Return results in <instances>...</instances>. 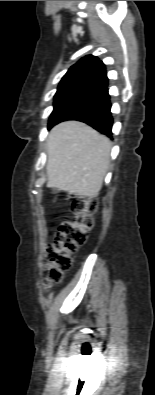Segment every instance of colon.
Segmentation results:
<instances>
[{
  "label": "colon",
  "instance_id": "obj_1",
  "mask_svg": "<svg viewBox=\"0 0 155 395\" xmlns=\"http://www.w3.org/2000/svg\"><path fill=\"white\" fill-rule=\"evenodd\" d=\"M74 218L60 224L55 241L46 249V285L61 282L64 273L71 267V256L88 237L93 226L97 199L72 198Z\"/></svg>",
  "mask_w": 155,
  "mask_h": 395
}]
</instances>
